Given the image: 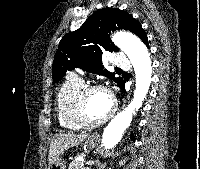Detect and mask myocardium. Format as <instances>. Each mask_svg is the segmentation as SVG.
Here are the masks:
<instances>
[{"label": "myocardium", "mask_w": 200, "mask_h": 169, "mask_svg": "<svg viewBox=\"0 0 200 169\" xmlns=\"http://www.w3.org/2000/svg\"><path fill=\"white\" fill-rule=\"evenodd\" d=\"M94 91H102L109 95V92L100 85H88L83 87L75 99V115L77 118V121L81 125L82 128L85 129H94L97 128L104 123H106L115 113L116 105L113 100H111V108L107 115L96 122H90L86 117V111H85V102L87 96ZM110 96V95H109ZM111 98V97H110Z\"/></svg>", "instance_id": "1"}]
</instances>
